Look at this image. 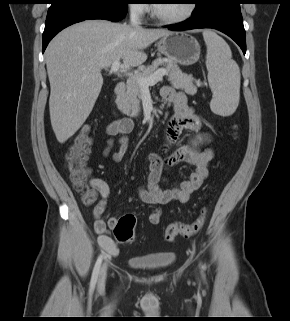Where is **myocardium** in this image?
<instances>
[{
	"instance_id": "obj_1",
	"label": "myocardium",
	"mask_w": 290,
	"mask_h": 321,
	"mask_svg": "<svg viewBox=\"0 0 290 321\" xmlns=\"http://www.w3.org/2000/svg\"><path fill=\"white\" fill-rule=\"evenodd\" d=\"M187 3L188 4H187L186 11L182 15L177 17H163L157 13L155 5H151V16L157 22L165 25H175V24L182 23L188 20L189 18H191L196 9V4L194 3L193 0H189L187 1Z\"/></svg>"
}]
</instances>
